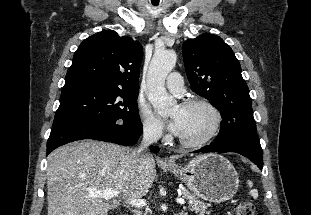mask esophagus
Listing matches in <instances>:
<instances>
[{"mask_svg": "<svg viewBox=\"0 0 311 215\" xmlns=\"http://www.w3.org/2000/svg\"><path fill=\"white\" fill-rule=\"evenodd\" d=\"M164 163L167 164V165H171V164H173V160L169 159V158H165L164 159Z\"/></svg>", "mask_w": 311, "mask_h": 215, "instance_id": "esophagus-1", "label": "esophagus"}]
</instances>
